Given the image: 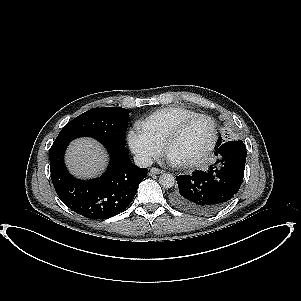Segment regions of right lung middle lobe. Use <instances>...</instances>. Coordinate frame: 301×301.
I'll list each match as a JSON object with an SVG mask.
<instances>
[{
    "mask_svg": "<svg viewBox=\"0 0 301 301\" xmlns=\"http://www.w3.org/2000/svg\"><path fill=\"white\" fill-rule=\"evenodd\" d=\"M129 112L130 110L120 107L93 108L67 123L55 141L90 136L125 145Z\"/></svg>",
    "mask_w": 301,
    "mask_h": 301,
    "instance_id": "1",
    "label": "right lung middle lobe"
}]
</instances>
